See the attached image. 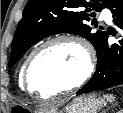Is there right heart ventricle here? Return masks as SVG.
Returning a JSON list of instances; mask_svg holds the SVG:
<instances>
[{
	"label": "right heart ventricle",
	"mask_w": 123,
	"mask_h": 113,
	"mask_svg": "<svg viewBox=\"0 0 123 113\" xmlns=\"http://www.w3.org/2000/svg\"><path fill=\"white\" fill-rule=\"evenodd\" d=\"M22 71H23V67L20 68L18 73L19 86H23Z\"/></svg>",
	"instance_id": "obj_1"
}]
</instances>
